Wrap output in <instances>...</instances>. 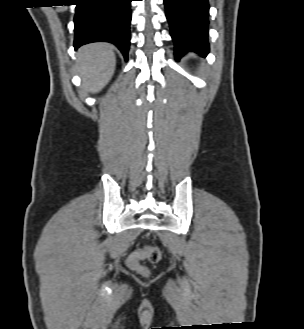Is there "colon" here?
<instances>
[{"instance_id": "obj_1", "label": "colon", "mask_w": 304, "mask_h": 329, "mask_svg": "<svg viewBox=\"0 0 304 329\" xmlns=\"http://www.w3.org/2000/svg\"><path fill=\"white\" fill-rule=\"evenodd\" d=\"M147 259L151 263H157L161 260V251L157 247H145L144 249L134 251L127 259V266L143 276L149 275V269L141 264V261Z\"/></svg>"}]
</instances>
